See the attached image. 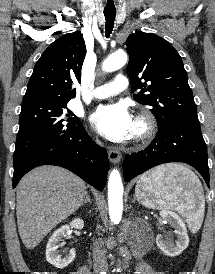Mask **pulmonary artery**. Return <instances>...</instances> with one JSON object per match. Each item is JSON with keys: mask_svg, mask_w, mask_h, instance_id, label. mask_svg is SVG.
Returning a JSON list of instances; mask_svg holds the SVG:
<instances>
[{"mask_svg": "<svg viewBox=\"0 0 215 274\" xmlns=\"http://www.w3.org/2000/svg\"><path fill=\"white\" fill-rule=\"evenodd\" d=\"M128 86V79L124 75H116L111 82L101 85L94 89L92 95L97 99H104L114 96L125 90Z\"/></svg>", "mask_w": 215, "mask_h": 274, "instance_id": "pulmonary-artery-1", "label": "pulmonary artery"}]
</instances>
